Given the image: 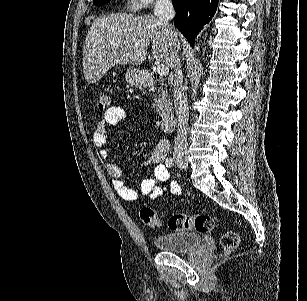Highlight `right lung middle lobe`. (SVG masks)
<instances>
[{"label": "right lung middle lobe", "instance_id": "obj_1", "mask_svg": "<svg viewBox=\"0 0 307 301\" xmlns=\"http://www.w3.org/2000/svg\"><path fill=\"white\" fill-rule=\"evenodd\" d=\"M110 0H94L93 4L96 5V6H100V5H103L107 2H109Z\"/></svg>", "mask_w": 307, "mask_h": 301}]
</instances>
